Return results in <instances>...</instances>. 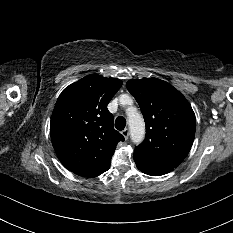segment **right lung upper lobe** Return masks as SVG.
I'll use <instances>...</instances> for the list:
<instances>
[{
	"label": "right lung upper lobe",
	"instance_id": "1",
	"mask_svg": "<svg viewBox=\"0 0 233 233\" xmlns=\"http://www.w3.org/2000/svg\"><path fill=\"white\" fill-rule=\"evenodd\" d=\"M122 86L117 78L88 75L60 94L50 123L54 150L61 163L83 177H96L110 168L124 137L114 129L107 104Z\"/></svg>",
	"mask_w": 233,
	"mask_h": 233
}]
</instances>
